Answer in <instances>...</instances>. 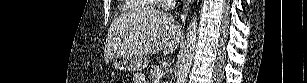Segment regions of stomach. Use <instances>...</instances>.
<instances>
[{"instance_id":"stomach-1","label":"stomach","mask_w":307,"mask_h":83,"mask_svg":"<svg viewBox=\"0 0 307 83\" xmlns=\"http://www.w3.org/2000/svg\"><path fill=\"white\" fill-rule=\"evenodd\" d=\"M147 59L145 57L118 55L113 59V65L116 69L122 71H138L147 66Z\"/></svg>"}]
</instances>
